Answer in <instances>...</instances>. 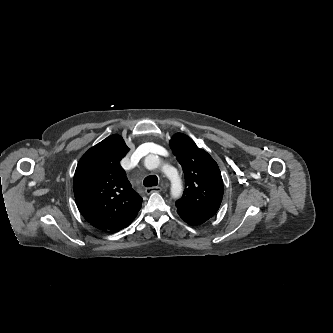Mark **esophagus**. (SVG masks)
<instances>
[{
  "label": "esophagus",
  "instance_id": "obj_1",
  "mask_svg": "<svg viewBox=\"0 0 333 333\" xmlns=\"http://www.w3.org/2000/svg\"><path fill=\"white\" fill-rule=\"evenodd\" d=\"M162 191V188L159 187V186H156V187H148L145 189V192L147 194H151V193H154V192H161Z\"/></svg>",
  "mask_w": 333,
  "mask_h": 333
}]
</instances>
